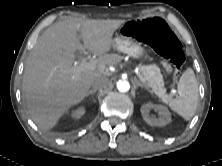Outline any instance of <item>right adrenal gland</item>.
Here are the masks:
<instances>
[{
    "label": "right adrenal gland",
    "instance_id": "obj_1",
    "mask_svg": "<svg viewBox=\"0 0 222 166\" xmlns=\"http://www.w3.org/2000/svg\"><path fill=\"white\" fill-rule=\"evenodd\" d=\"M96 93V91L95 90H90L88 93H87V97L90 95V94H95Z\"/></svg>",
    "mask_w": 222,
    "mask_h": 166
}]
</instances>
